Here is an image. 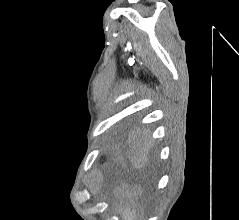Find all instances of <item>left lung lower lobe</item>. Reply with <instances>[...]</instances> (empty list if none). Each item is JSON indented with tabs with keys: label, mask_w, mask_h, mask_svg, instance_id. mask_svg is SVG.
<instances>
[{
	"label": "left lung lower lobe",
	"mask_w": 239,
	"mask_h": 220,
	"mask_svg": "<svg viewBox=\"0 0 239 220\" xmlns=\"http://www.w3.org/2000/svg\"><path fill=\"white\" fill-rule=\"evenodd\" d=\"M146 150V142L138 137L128 136L121 142L119 146V156L123 159H138Z\"/></svg>",
	"instance_id": "obj_1"
}]
</instances>
